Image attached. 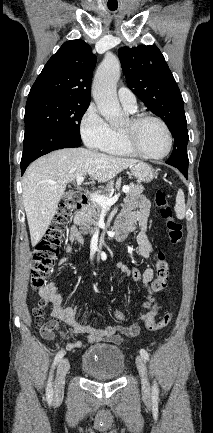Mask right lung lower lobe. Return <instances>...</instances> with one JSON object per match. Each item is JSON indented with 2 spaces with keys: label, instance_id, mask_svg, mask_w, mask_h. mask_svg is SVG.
Returning a JSON list of instances; mask_svg holds the SVG:
<instances>
[{
  "label": "right lung lower lobe",
  "instance_id": "right-lung-lower-lobe-1",
  "mask_svg": "<svg viewBox=\"0 0 213 433\" xmlns=\"http://www.w3.org/2000/svg\"><path fill=\"white\" fill-rule=\"evenodd\" d=\"M81 141L45 126H31L25 129L24 148L21 159V174L36 158L53 150L79 147Z\"/></svg>",
  "mask_w": 213,
  "mask_h": 433
}]
</instances>
